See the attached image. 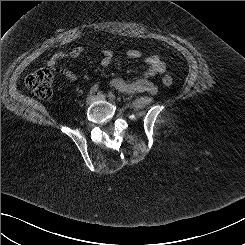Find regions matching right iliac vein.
<instances>
[{
	"label": "right iliac vein",
	"mask_w": 245,
	"mask_h": 245,
	"mask_svg": "<svg viewBox=\"0 0 245 245\" xmlns=\"http://www.w3.org/2000/svg\"><path fill=\"white\" fill-rule=\"evenodd\" d=\"M95 101V97L91 94L86 98V104L90 105Z\"/></svg>",
	"instance_id": "obj_1"
}]
</instances>
